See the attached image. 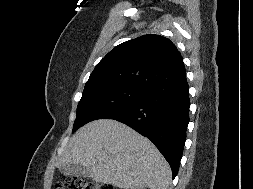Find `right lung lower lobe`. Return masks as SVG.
<instances>
[{"label":"right lung lower lobe","mask_w":253,"mask_h":189,"mask_svg":"<svg viewBox=\"0 0 253 189\" xmlns=\"http://www.w3.org/2000/svg\"><path fill=\"white\" fill-rule=\"evenodd\" d=\"M189 86L178 83L156 86L136 103L105 118L122 122L145 135L178 173L189 123Z\"/></svg>","instance_id":"right-lung-lower-lobe-1"}]
</instances>
